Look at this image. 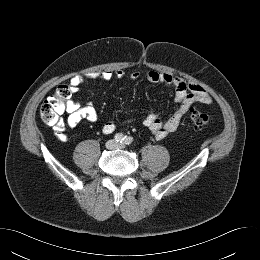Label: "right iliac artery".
Segmentation results:
<instances>
[{
	"label": "right iliac artery",
	"mask_w": 260,
	"mask_h": 260,
	"mask_svg": "<svg viewBox=\"0 0 260 260\" xmlns=\"http://www.w3.org/2000/svg\"><path fill=\"white\" fill-rule=\"evenodd\" d=\"M114 138H115V141H116V142L122 143V142L124 141V138H125V137L123 136L122 133H117Z\"/></svg>",
	"instance_id": "obj_1"
}]
</instances>
